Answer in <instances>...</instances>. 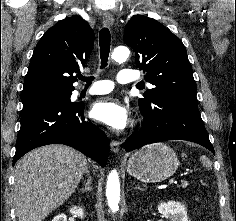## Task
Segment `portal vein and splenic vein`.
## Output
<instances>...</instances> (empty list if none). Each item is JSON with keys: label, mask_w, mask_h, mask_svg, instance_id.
I'll list each match as a JSON object with an SVG mask.
<instances>
[{"label": "portal vein and splenic vein", "mask_w": 236, "mask_h": 221, "mask_svg": "<svg viewBox=\"0 0 236 221\" xmlns=\"http://www.w3.org/2000/svg\"><path fill=\"white\" fill-rule=\"evenodd\" d=\"M169 184H170V185L175 184V181L172 180V181L169 182ZM182 184L186 186V185H187V181H183Z\"/></svg>", "instance_id": "portal-vein-and-splenic-vein-1"}]
</instances>
